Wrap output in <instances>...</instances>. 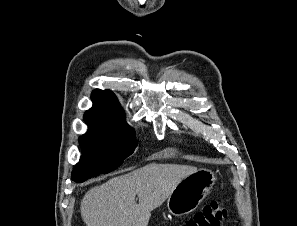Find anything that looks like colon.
<instances>
[{
    "label": "colon",
    "mask_w": 297,
    "mask_h": 226,
    "mask_svg": "<svg viewBox=\"0 0 297 226\" xmlns=\"http://www.w3.org/2000/svg\"><path fill=\"white\" fill-rule=\"evenodd\" d=\"M228 216L227 210L219 201L206 204L184 226H219Z\"/></svg>",
    "instance_id": "5ec220e1"
}]
</instances>
